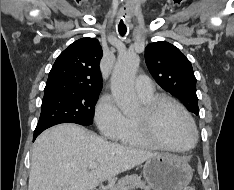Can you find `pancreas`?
Wrapping results in <instances>:
<instances>
[{"label": "pancreas", "mask_w": 234, "mask_h": 190, "mask_svg": "<svg viewBox=\"0 0 234 190\" xmlns=\"http://www.w3.org/2000/svg\"><path fill=\"white\" fill-rule=\"evenodd\" d=\"M135 188L150 190L149 186H147L145 182L141 180V177L136 174L123 177L110 190H133Z\"/></svg>", "instance_id": "1"}]
</instances>
